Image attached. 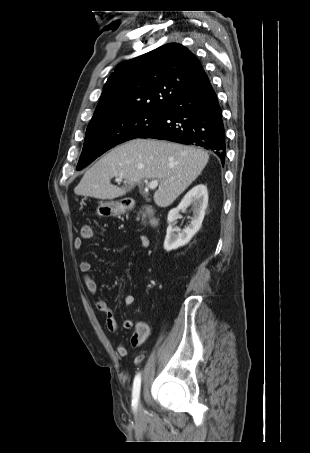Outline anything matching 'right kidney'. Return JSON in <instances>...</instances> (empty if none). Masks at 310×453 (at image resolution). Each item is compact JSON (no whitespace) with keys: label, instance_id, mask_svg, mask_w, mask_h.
<instances>
[{"label":"right kidney","instance_id":"obj_1","mask_svg":"<svg viewBox=\"0 0 310 453\" xmlns=\"http://www.w3.org/2000/svg\"><path fill=\"white\" fill-rule=\"evenodd\" d=\"M190 205H192L193 208V218L188 227H186L182 232L172 228V223L176 220V216L179 211L186 209ZM207 205V187L203 184H198L187 192L177 208H173L169 211L167 218L169 226L167 228V234L164 241V249L166 251L175 250L181 246H184L192 239V237L201 228Z\"/></svg>","mask_w":310,"mask_h":453}]
</instances>
